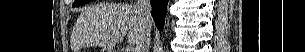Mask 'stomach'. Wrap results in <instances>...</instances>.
Here are the masks:
<instances>
[{"label": "stomach", "mask_w": 305, "mask_h": 52, "mask_svg": "<svg viewBox=\"0 0 305 52\" xmlns=\"http://www.w3.org/2000/svg\"><path fill=\"white\" fill-rule=\"evenodd\" d=\"M105 52H112L111 50H106Z\"/></svg>", "instance_id": "1"}]
</instances>
